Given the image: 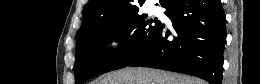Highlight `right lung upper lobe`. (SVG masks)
<instances>
[{
    "instance_id": "right-lung-upper-lobe-1",
    "label": "right lung upper lobe",
    "mask_w": 260,
    "mask_h": 84,
    "mask_svg": "<svg viewBox=\"0 0 260 84\" xmlns=\"http://www.w3.org/2000/svg\"><path fill=\"white\" fill-rule=\"evenodd\" d=\"M174 0H159L162 7H167ZM145 0H89L77 40L84 37L90 28L100 21H117L139 12ZM76 40V41H77Z\"/></svg>"
}]
</instances>
